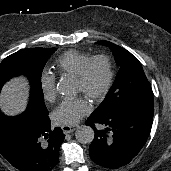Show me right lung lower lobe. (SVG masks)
I'll list each match as a JSON object with an SVG mask.
<instances>
[{
    "label": "right lung lower lobe",
    "mask_w": 171,
    "mask_h": 171,
    "mask_svg": "<svg viewBox=\"0 0 171 171\" xmlns=\"http://www.w3.org/2000/svg\"><path fill=\"white\" fill-rule=\"evenodd\" d=\"M15 137L0 153L20 171H51L59 159L63 131L51 129L48 116L27 113L12 129Z\"/></svg>",
    "instance_id": "98d812e1"
}]
</instances>
